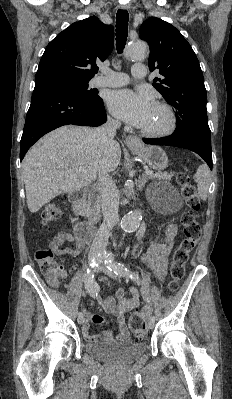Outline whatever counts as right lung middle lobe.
<instances>
[{"instance_id":"1","label":"right lung middle lobe","mask_w":232,"mask_h":399,"mask_svg":"<svg viewBox=\"0 0 232 399\" xmlns=\"http://www.w3.org/2000/svg\"><path fill=\"white\" fill-rule=\"evenodd\" d=\"M54 80L75 89L83 98L90 100L98 98L97 92L92 89L88 90L89 79L60 78Z\"/></svg>"}]
</instances>
